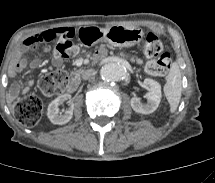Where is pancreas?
Listing matches in <instances>:
<instances>
[{
	"instance_id": "cf45deb5",
	"label": "pancreas",
	"mask_w": 215,
	"mask_h": 183,
	"mask_svg": "<svg viewBox=\"0 0 215 183\" xmlns=\"http://www.w3.org/2000/svg\"><path fill=\"white\" fill-rule=\"evenodd\" d=\"M122 57H125L126 55L124 54V53H121L120 54ZM130 61L131 62H136L137 64H142L143 63V61L140 59V58H138V57H131L130 58ZM83 72V68H80V69H78V70H75V71H72L71 72V75H74V76H76V77H78V76H80V74Z\"/></svg>"
}]
</instances>
